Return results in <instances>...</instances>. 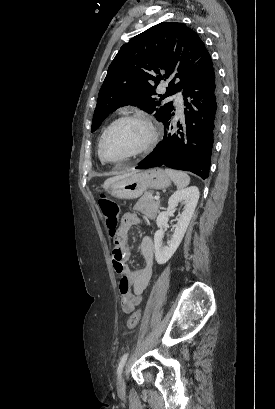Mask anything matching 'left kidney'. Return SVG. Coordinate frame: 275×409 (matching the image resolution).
<instances>
[{
    "label": "left kidney",
    "mask_w": 275,
    "mask_h": 409,
    "mask_svg": "<svg viewBox=\"0 0 275 409\" xmlns=\"http://www.w3.org/2000/svg\"><path fill=\"white\" fill-rule=\"evenodd\" d=\"M199 198V188L197 186H188V188H182V190H176L169 198L167 211H163L157 217V227L159 231H156L154 235V247H155V259L158 265H165L175 251H177L186 231L187 227L194 215L196 205ZM185 205L184 211H182L178 223L175 227V231L172 235V239L168 241L167 247H163L162 239L164 237L163 227L168 221L169 211H173L177 205Z\"/></svg>",
    "instance_id": "1"
}]
</instances>
